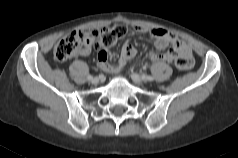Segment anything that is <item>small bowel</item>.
I'll return each mask as SVG.
<instances>
[{"instance_id": "c3829d8e", "label": "small bowel", "mask_w": 238, "mask_h": 158, "mask_svg": "<svg viewBox=\"0 0 238 158\" xmlns=\"http://www.w3.org/2000/svg\"><path fill=\"white\" fill-rule=\"evenodd\" d=\"M135 30L139 33H147L154 39L157 51L153 50L149 52V58L152 61L172 62L177 57L189 58L193 61L191 48L185 42L181 41L175 34L162 28L148 29L138 26ZM92 45V39L88 38L86 53L89 52ZM169 47L170 49L168 51L161 52ZM136 53L137 50L132 42L126 40L123 43L119 60L116 63H110V52L107 48H104L100 50L98 54V67L107 73L117 74L124 68L126 63L136 55Z\"/></svg>"}]
</instances>
